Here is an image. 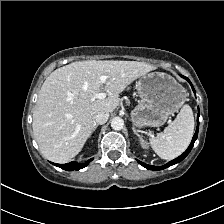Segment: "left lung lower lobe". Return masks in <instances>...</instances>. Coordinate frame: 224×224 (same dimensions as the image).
<instances>
[{"mask_svg":"<svg viewBox=\"0 0 224 224\" xmlns=\"http://www.w3.org/2000/svg\"><path fill=\"white\" fill-rule=\"evenodd\" d=\"M181 77L185 78V79L191 84V82H190V80H189L188 78H186V77H184V76H181ZM191 86H192V84H191ZM192 89H193V91L195 92L193 86H192ZM198 118H199V108H198ZM198 128H199V121H197V129H196V132H195V134H194V136H193L192 142H191L190 146L188 147V149H187L181 156H179L178 158H176V159H174V160L168 162L166 165H164V166H151V165L142 163L141 161H138V162H139L143 167H145V168H147V169H150V170H162V169H165V168H167V167H169V166H172V165H174V164H176V163H179V162L182 161V160L189 154V152L191 151V149H192V147H193V145H194V142L196 141L197 136H198Z\"/></svg>","mask_w":224,"mask_h":224,"instance_id":"0a47b994","label":"left lung lower lobe"}]
</instances>
